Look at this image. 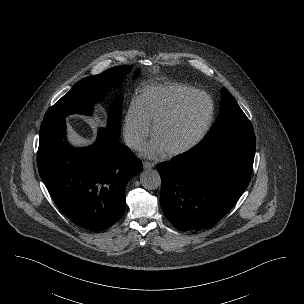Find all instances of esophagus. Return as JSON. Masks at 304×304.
<instances>
[{
	"label": "esophagus",
	"instance_id": "1",
	"mask_svg": "<svg viewBox=\"0 0 304 304\" xmlns=\"http://www.w3.org/2000/svg\"><path fill=\"white\" fill-rule=\"evenodd\" d=\"M153 167H154V163L148 162V161L143 162V168L144 169H150V168H153Z\"/></svg>",
	"mask_w": 304,
	"mask_h": 304
}]
</instances>
